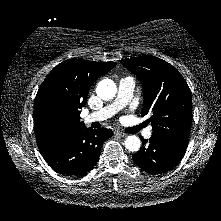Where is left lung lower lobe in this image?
Instances as JSON below:
<instances>
[{"mask_svg": "<svg viewBox=\"0 0 221 221\" xmlns=\"http://www.w3.org/2000/svg\"><path fill=\"white\" fill-rule=\"evenodd\" d=\"M142 148L133 155L135 164L151 174H161L173 169L183 158L187 145L151 136L141 138Z\"/></svg>", "mask_w": 221, "mask_h": 221, "instance_id": "left-lung-lower-lobe-1", "label": "left lung lower lobe"}]
</instances>
